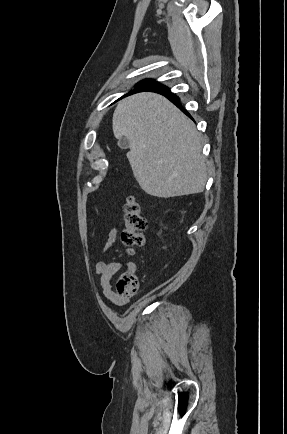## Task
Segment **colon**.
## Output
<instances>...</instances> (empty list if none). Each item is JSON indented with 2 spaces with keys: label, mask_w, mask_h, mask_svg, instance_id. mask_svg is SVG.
I'll return each mask as SVG.
<instances>
[{
  "label": "colon",
  "mask_w": 287,
  "mask_h": 434,
  "mask_svg": "<svg viewBox=\"0 0 287 434\" xmlns=\"http://www.w3.org/2000/svg\"><path fill=\"white\" fill-rule=\"evenodd\" d=\"M147 222L135 197H128L124 204V230L122 242L129 249L144 243ZM139 289V280L134 272L123 273L116 283V294L125 299L134 297Z\"/></svg>",
  "instance_id": "1"
}]
</instances>
